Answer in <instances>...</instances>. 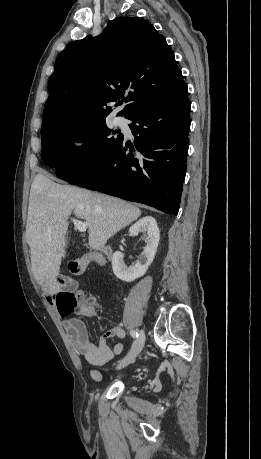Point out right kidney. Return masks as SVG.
<instances>
[{
    "mask_svg": "<svg viewBox=\"0 0 261 459\" xmlns=\"http://www.w3.org/2000/svg\"><path fill=\"white\" fill-rule=\"evenodd\" d=\"M139 232H147V245L135 264L127 267L123 261L122 252L116 251L112 256V269L117 278L125 282H132L142 277L150 264L153 262L159 244L160 232L156 220L151 216L141 218L129 228L131 236H137Z\"/></svg>",
    "mask_w": 261,
    "mask_h": 459,
    "instance_id": "right-kidney-1",
    "label": "right kidney"
}]
</instances>
